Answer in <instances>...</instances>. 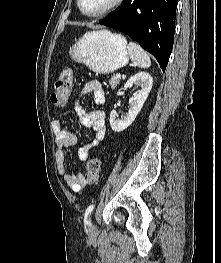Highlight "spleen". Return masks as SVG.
Masks as SVG:
<instances>
[{"label": "spleen", "instance_id": "obj_1", "mask_svg": "<svg viewBox=\"0 0 221 263\" xmlns=\"http://www.w3.org/2000/svg\"><path fill=\"white\" fill-rule=\"evenodd\" d=\"M131 61L138 67L146 69L151 65L149 55L137 44L130 42L127 46Z\"/></svg>", "mask_w": 221, "mask_h": 263}]
</instances>
